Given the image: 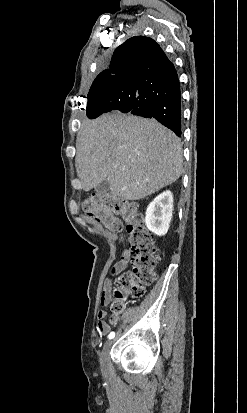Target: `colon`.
Masks as SVG:
<instances>
[{"mask_svg": "<svg viewBox=\"0 0 247 413\" xmlns=\"http://www.w3.org/2000/svg\"><path fill=\"white\" fill-rule=\"evenodd\" d=\"M83 208L92 219L118 236L122 234V221L126 223L133 266L122 272L121 284L113 294L116 301L110 304L111 312L120 314L125 310L128 299L139 300L145 293V287L155 280L154 268L158 264V255L153 236L144 226L138 204H129L111 195H96L88 199Z\"/></svg>", "mask_w": 247, "mask_h": 413, "instance_id": "colon-1", "label": "colon"}]
</instances>
